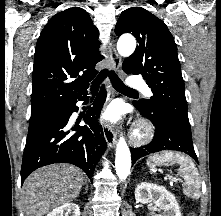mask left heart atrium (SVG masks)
Listing matches in <instances>:
<instances>
[{"mask_svg": "<svg viewBox=\"0 0 221 216\" xmlns=\"http://www.w3.org/2000/svg\"><path fill=\"white\" fill-rule=\"evenodd\" d=\"M119 110L115 106L107 108L101 116V120L104 122H115L118 118Z\"/></svg>", "mask_w": 221, "mask_h": 216, "instance_id": "obj_1", "label": "left heart atrium"}]
</instances>
